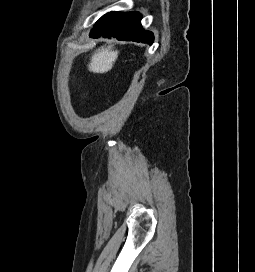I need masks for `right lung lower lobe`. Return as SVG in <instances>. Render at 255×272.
<instances>
[{"label":"right lung lower lobe","mask_w":255,"mask_h":272,"mask_svg":"<svg viewBox=\"0 0 255 272\" xmlns=\"http://www.w3.org/2000/svg\"><path fill=\"white\" fill-rule=\"evenodd\" d=\"M138 12H110L102 16L91 30V38H110L118 40L152 43L153 34L141 26Z\"/></svg>","instance_id":"obj_1"}]
</instances>
